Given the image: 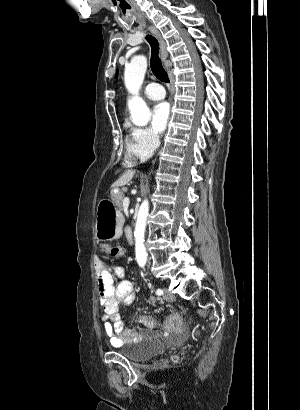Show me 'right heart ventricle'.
<instances>
[{
    "mask_svg": "<svg viewBox=\"0 0 300 410\" xmlns=\"http://www.w3.org/2000/svg\"><path fill=\"white\" fill-rule=\"evenodd\" d=\"M126 146H127L126 162L133 163L135 159H138V157L135 156L131 150L130 137L126 138Z\"/></svg>",
    "mask_w": 300,
    "mask_h": 410,
    "instance_id": "e07e8e85",
    "label": "right heart ventricle"
}]
</instances>
